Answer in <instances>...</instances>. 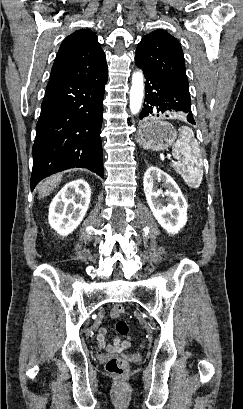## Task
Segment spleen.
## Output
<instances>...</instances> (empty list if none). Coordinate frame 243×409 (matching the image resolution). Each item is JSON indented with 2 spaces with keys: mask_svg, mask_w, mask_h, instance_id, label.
I'll list each match as a JSON object with an SVG mask.
<instances>
[{
  "mask_svg": "<svg viewBox=\"0 0 243 409\" xmlns=\"http://www.w3.org/2000/svg\"><path fill=\"white\" fill-rule=\"evenodd\" d=\"M172 155L177 162L171 165L191 188H198L203 179V163L199 145L192 129L187 126L179 128V138L174 144Z\"/></svg>",
  "mask_w": 243,
  "mask_h": 409,
  "instance_id": "obj_1",
  "label": "spleen"
}]
</instances>
